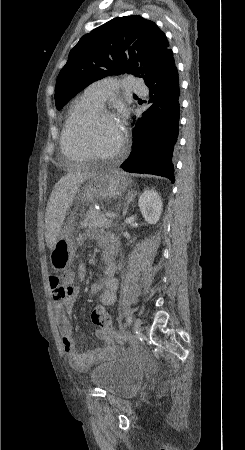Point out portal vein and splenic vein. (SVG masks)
<instances>
[{
    "instance_id": "18ae733b",
    "label": "portal vein and splenic vein",
    "mask_w": 245,
    "mask_h": 450,
    "mask_svg": "<svg viewBox=\"0 0 245 450\" xmlns=\"http://www.w3.org/2000/svg\"><path fill=\"white\" fill-rule=\"evenodd\" d=\"M106 216L111 219H115L117 215L113 212H106Z\"/></svg>"
}]
</instances>
